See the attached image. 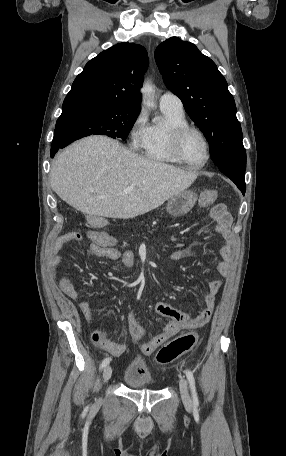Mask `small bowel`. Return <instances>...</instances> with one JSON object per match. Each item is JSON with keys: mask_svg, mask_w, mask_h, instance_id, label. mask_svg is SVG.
<instances>
[{"mask_svg": "<svg viewBox=\"0 0 286 456\" xmlns=\"http://www.w3.org/2000/svg\"><path fill=\"white\" fill-rule=\"evenodd\" d=\"M212 216L217 222V231L222 236L224 244L220 249L221 260L216 264V270L223 277L231 273L233 262V236L231 231L232 219L223 204H216L212 208ZM74 232L62 235L56 241L49 263L56 267L61 261V252L69 244L79 241L73 236ZM86 237L89 240V250L97 258L112 261H121L126 267L132 268L135 264V255L130 250H120L116 247V239L101 231H88ZM189 256L188 252L174 250L169 254V258L174 261L181 260ZM59 284L62 292L71 300L76 301L79 311L85 320H92V306L89 299L79 298V292L67 273H61ZM222 287L221 280H212L208 283V292L203 297L204 308L196 315H190L165 302L158 301L155 303V312L160 316L169 318L163 330L148 338L143 327L135 319L131 309H127L125 319L127 329L131 337L136 341H144L141 345V352L144 355L152 354L161 344L182 330L196 329L208 323L215 306L216 295ZM92 340L113 356H121L126 351V345L114 342L110 338V333L99 327L92 333Z\"/></svg>", "mask_w": 286, "mask_h": 456, "instance_id": "c3829d8e", "label": "small bowel"}]
</instances>
